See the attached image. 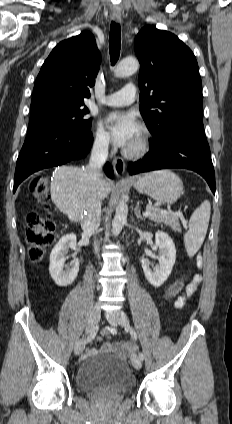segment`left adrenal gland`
I'll list each match as a JSON object with an SVG mask.
<instances>
[{
  "instance_id": "left-adrenal-gland-1",
  "label": "left adrenal gland",
  "mask_w": 232,
  "mask_h": 424,
  "mask_svg": "<svg viewBox=\"0 0 232 424\" xmlns=\"http://www.w3.org/2000/svg\"><path fill=\"white\" fill-rule=\"evenodd\" d=\"M139 204L140 203L138 201L137 202V205H136V207L134 209V214H135V216H136L137 219L144 220L145 218H144V216L141 215L140 210H139Z\"/></svg>"
}]
</instances>
